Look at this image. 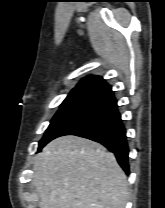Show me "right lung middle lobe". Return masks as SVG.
Listing matches in <instances>:
<instances>
[{
  "mask_svg": "<svg viewBox=\"0 0 165 208\" xmlns=\"http://www.w3.org/2000/svg\"><path fill=\"white\" fill-rule=\"evenodd\" d=\"M92 108L87 106H61L50 122L49 127L39 142L38 151L48 142L58 137L69 126L86 115Z\"/></svg>",
  "mask_w": 165,
  "mask_h": 208,
  "instance_id": "dd1d6c3e",
  "label": "right lung middle lobe"
}]
</instances>
